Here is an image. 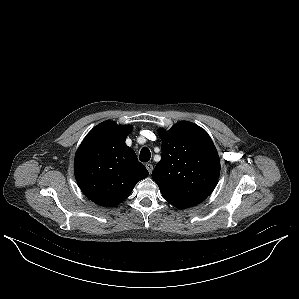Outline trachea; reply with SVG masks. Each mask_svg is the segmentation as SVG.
Here are the masks:
<instances>
[{
  "mask_svg": "<svg viewBox=\"0 0 299 299\" xmlns=\"http://www.w3.org/2000/svg\"><path fill=\"white\" fill-rule=\"evenodd\" d=\"M151 158V152L147 147H143L140 151V161L148 162Z\"/></svg>",
  "mask_w": 299,
  "mask_h": 299,
  "instance_id": "3493384b",
  "label": "trachea"
}]
</instances>
